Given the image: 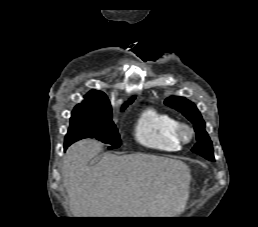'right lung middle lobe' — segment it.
Segmentation results:
<instances>
[{"label":"right lung middle lobe","mask_w":258,"mask_h":227,"mask_svg":"<svg viewBox=\"0 0 258 227\" xmlns=\"http://www.w3.org/2000/svg\"><path fill=\"white\" fill-rule=\"evenodd\" d=\"M131 102L125 103L121 110H124ZM83 138H96L109 144L108 149L120 146V136L112 121L111 108H74L68 133L65 136V145H71Z\"/></svg>","instance_id":"right-lung-middle-lobe-1"}]
</instances>
